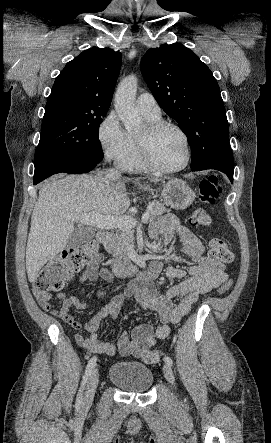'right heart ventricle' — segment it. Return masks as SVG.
I'll return each instance as SVG.
<instances>
[{
    "label": "right heart ventricle",
    "instance_id": "1",
    "mask_svg": "<svg viewBox=\"0 0 271 443\" xmlns=\"http://www.w3.org/2000/svg\"><path fill=\"white\" fill-rule=\"evenodd\" d=\"M145 119L149 123V122H152L155 120H159L160 117L159 116H155V117H146L145 116ZM128 137H129V143H130V152H129L128 157L126 158V160L124 161V163L121 166L129 172L143 171L147 167L144 164L142 157H141L139 141H138L139 135L129 134Z\"/></svg>",
    "mask_w": 271,
    "mask_h": 443
}]
</instances>
